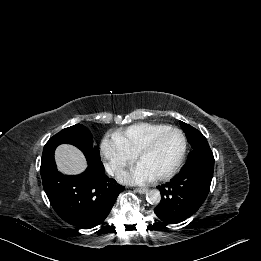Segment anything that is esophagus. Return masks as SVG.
I'll return each mask as SVG.
<instances>
[{"label":"esophagus","mask_w":261,"mask_h":261,"mask_svg":"<svg viewBox=\"0 0 261 261\" xmlns=\"http://www.w3.org/2000/svg\"><path fill=\"white\" fill-rule=\"evenodd\" d=\"M135 190L140 194H144L147 191V188H136Z\"/></svg>","instance_id":"obj_1"}]
</instances>
